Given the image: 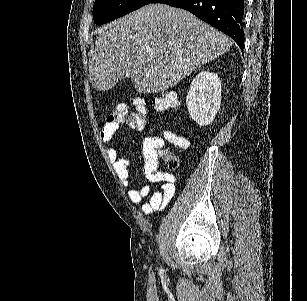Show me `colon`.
Wrapping results in <instances>:
<instances>
[{
  "label": "colon",
  "mask_w": 307,
  "mask_h": 301,
  "mask_svg": "<svg viewBox=\"0 0 307 301\" xmlns=\"http://www.w3.org/2000/svg\"><path fill=\"white\" fill-rule=\"evenodd\" d=\"M133 111L129 114L125 105H118L107 116L106 122L109 124H126L135 130H143L147 122V108L141 98H135L132 102ZM154 106L159 111H175L179 108L177 95L173 91L165 90L154 99ZM167 139L175 146L183 148L188 145L187 138L167 133ZM161 156L170 170H175L179 165V157L170 151H161Z\"/></svg>",
  "instance_id": "colon-1"
}]
</instances>
